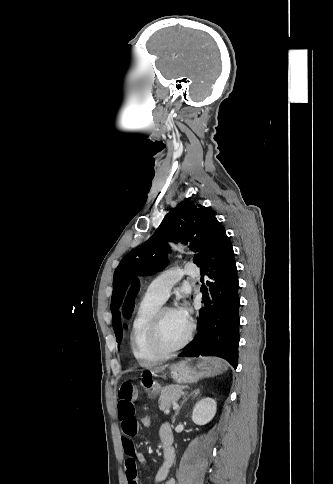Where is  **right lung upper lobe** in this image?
<instances>
[{
  "instance_id": "obj_1",
  "label": "right lung upper lobe",
  "mask_w": 333,
  "mask_h": 484,
  "mask_svg": "<svg viewBox=\"0 0 333 484\" xmlns=\"http://www.w3.org/2000/svg\"><path fill=\"white\" fill-rule=\"evenodd\" d=\"M139 290V281L135 280L128 297L126 298L125 305L123 307V315L125 318H129L133 310L134 299Z\"/></svg>"
}]
</instances>
